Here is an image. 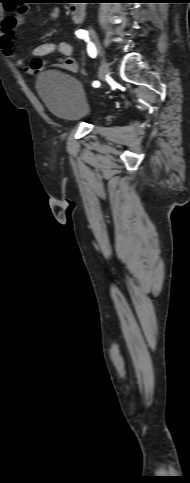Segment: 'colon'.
I'll list each match as a JSON object with an SVG mask.
<instances>
[{
    "instance_id": "colon-1",
    "label": "colon",
    "mask_w": 190,
    "mask_h": 483,
    "mask_svg": "<svg viewBox=\"0 0 190 483\" xmlns=\"http://www.w3.org/2000/svg\"><path fill=\"white\" fill-rule=\"evenodd\" d=\"M7 5H8V6H10V7H12V6H13V4H12V3H10V1H7Z\"/></svg>"
}]
</instances>
